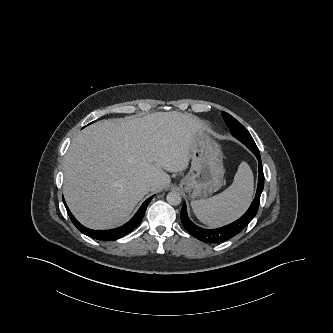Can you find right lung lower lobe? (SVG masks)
I'll list each match as a JSON object with an SVG mask.
<instances>
[{
	"instance_id": "right-lung-lower-lobe-1",
	"label": "right lung lower lobe",
	"mask_w": 333,
	"mask_h": 333,
	"mask_svg": "<svg viewBox=\"0 0 333 333\" xmlns=\"http://www.w3.org/2000/svg\"><path fill=\"white\" fill-rule=\"evenodd\" d=\"M152 198H153V196L149 197L141 205V207L139 208L137 213L133 216V218L130 221H128L126 224H124L121 227H118L115 229H110V230H92V229L84 227L74 218V216L68 209L64 198H63V202H64V205L68 212V215L70 216L71 221L77 227L78 230H80L83 234H85L91 238H94L97 240H102V241H110V240H117V239L124 237L125 235H127L128 233L133 231L139 225V223L142 221V219L144 217L146 208Z\"/></svg>"
}]
</instances>
